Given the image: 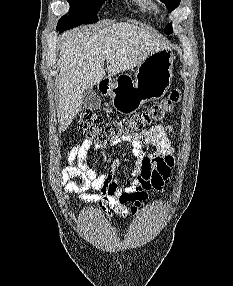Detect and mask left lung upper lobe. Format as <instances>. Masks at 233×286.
Masks as SVG:
<instances>
[{
	"mask_svg": "<svg viewBox=\"0 0 233 286\" xmlns=\"http://www.w3.org/2000/svg\"><path fill=\"white\" fill-rule=\"evenodd\" d=\"M164 3L166 4L167 7H170V11L174 10L180 3V0H163ZM165 32L171 33V24H168L167 27L165 28Z\"/></svg>",
	"mask_w": 233,
	"mask_h": 286,
	"instance_id": "1",
	"label": "left lung upper lobe"
}]
</instances>
